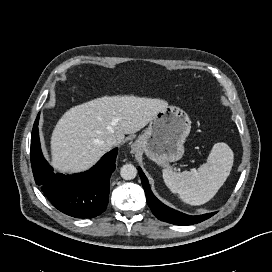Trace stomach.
Listing matches in <instances>:
<instances>
[{
    "mask_svg": "<svg viewBox=\"0 0 272 272\" xmlns=\"http://www.w3.org/2000/svg\"><path fill=\"white\" fill-rule=\"evenodd\" d=\"M191 130L188 114L176 106L160 110L148 128L138 138L135 149L144 152L152 161L166 167L184 154V142Z\"/></svg>",
    "mask_w": 272,
    "mask_h": 272,
    "instance_id": "obj_1",
    "label": "stomach"
}]
</instances>
